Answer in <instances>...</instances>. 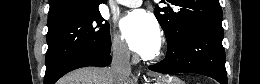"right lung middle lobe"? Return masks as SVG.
<instances>
[{
    "mask_svg": "<svg viewBox=\"0 0 260 84\" xmlns=\"http://www.w3.org/2000/svg\"><path fill=\"white\" fill-rule=\"evenodd\" d=\"M46 73L52 72L66 58L82 53L110 54L109 23L94 12L48 28Z\"/></svg>",
    "mask_w": 260,
    "mask_h": 84,
    "instance_id": "right-lung-middle-lobe-1",
    "label": "right lung middle lobe"
}]
</instances>
